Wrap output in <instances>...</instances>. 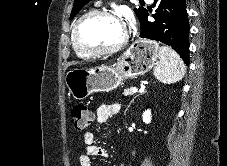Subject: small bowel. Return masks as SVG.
Returning a JSON list of instances; mask_svg holds the SVG:
<instances>
[{
    "mask_svg": "<svg viewBox=\"0 0 227 166\" xmlns=\"http://www.w3.org/2000/svg\"><path fill=\"white\" fill-rule=\"evenodd\" d=\"M121 109L119 103L101 104L96 111L95 119L98 123H104L112 116L116 115ZM96 135L94 132H86L83 134V142L85 148L79 157L80 166H91V158L95 156L109 157V154L104 149L95 145ZM118 166H125L123 162Z\"/></svg>",
    "mask_w": 227,
    "mask_h": 166,
    "instance_id": "c3829d8e",
    "label": "small bowel"
}]
</instances>
